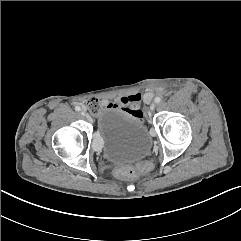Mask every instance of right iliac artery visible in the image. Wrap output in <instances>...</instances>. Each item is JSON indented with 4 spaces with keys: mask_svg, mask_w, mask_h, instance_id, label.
<instances>
[{
    "mask_svg": "<svg viewBox=\"0 0 241 241\" xmlns=\"http://www.w3.org/2000/svg\"><path fill=\"white\" fill-rule=\"evenodd\" d=\"M75 110L79 112V111H81V108L79 106H76Z\"/></svg>",
    "mask_w": 241,
    "mask_h": 241,
    "instance_id": "1",
    "label": "right iliac artery"
}]
</instances>
